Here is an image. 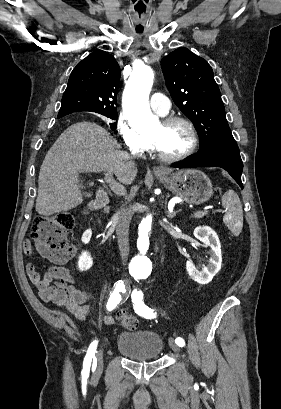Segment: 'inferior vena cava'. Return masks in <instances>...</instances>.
Returning <instances> with one entry per match:
<instances>
[{"label": "inferior vena cava", "mask_w": 281, "mask_h": 409, "mask_svg": "<svg viewBox=\"0 0 281 409\" xmlns=\"http://www.w3.org/2000/svg\"><path fill=\"white\" fill-rule=\"evenodd\" d=\"M131 223V215H128L126 211L119 213L116 219V235L118 241V247L120 249L121 259L123 265H125L128 259L129 253V227Z\"/></svg>", "instance_id": "1"}]
</instances>
